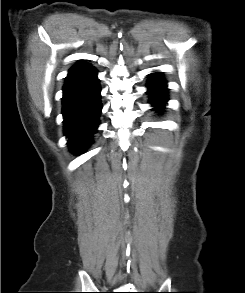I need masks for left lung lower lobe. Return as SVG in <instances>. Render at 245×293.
<instances>
[{"label": "left lung lower lobe", "mask_w": 245, "mask_h": 293, "mask_svg": "<svg viewBox=\"0 0 245 293\" xmlns=\"http://www.w3.org/2000/svg\"><path fill=\"white\" fill-rule=\"evenodd\" d=\"M149 77L147 86L148 93L151 97L150 103L155 106L154 110H162L163 103L168 100L166 82L164 81L161 73H152Z\"/></svg>", "instance_id": "left-lung-lower-lobe-1"}]
</instances>
